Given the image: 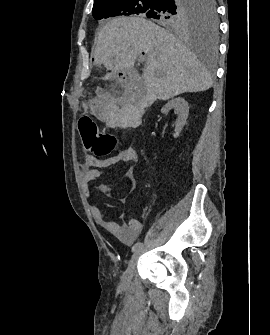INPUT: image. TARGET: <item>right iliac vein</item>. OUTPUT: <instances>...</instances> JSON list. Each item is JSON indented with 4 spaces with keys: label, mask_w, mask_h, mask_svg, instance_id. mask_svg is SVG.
I'll return each instance as SVG.
<instances>
[{
    "label": "right iliac vein",
    "mask_w": 270,
    "mask_h": 335,
    "mask_svg": "<svg viewBox=\"0 0 270 335\" xmlns=\"http://www.w3.org/2000/svg\"><path fill=\"white\" fill-rule=\"evenodd\" d=\"M146 250V247L143 245L141 246L138 250H136L134 252V254L132 255L127 269L125 270L123 277H122V286L123 287H127L131 281V278L133 276V272L137 263V260L139 259V257L141 256V254Z\"/></svg>",
    "instance_id": "obj_1"
}]
</instances>
